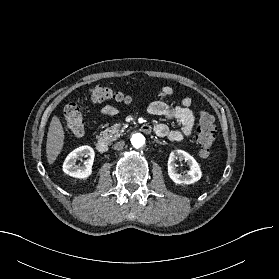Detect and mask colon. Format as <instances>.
Listing matches in <instances>:
<instances>
[{"instance_id":"5ec220e1","label":"colon","mask_w":279,"mask_h":279,"mask_svg":"<svg viewBox=\"0 0 279 279\" xmlns=\"http://www.w3.org/2000/svg\"><path fill=\"white\" fill-rule=\"evenodd\" d=\"M90 99L95 103L106 100H115L125 103L130 101L128 95L106 85H97L93 87L90 90ZM64 119L66 126L75 136H83L85 131L84 115L77 104L70 103L65 106ZM196 138L200 145V155L202 157H208L212 151V145L215 139V126L212 116L207 112L201 111L199 113Z\"/></svg>"}]
</instances>
